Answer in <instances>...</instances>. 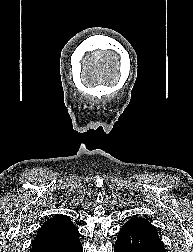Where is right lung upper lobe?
<instances>
[{
	"instance_id": "1",
	"label": "right lung upper lobe",
	"mask_w": 193,
	"mask_h": 252,
	"mask_svg": "<svg viewBox=\"0 0 193 252\" xmlns=\"http://www.w3.org/2000/svg\"><path fill=\"white\" fill-rule=\"evenodd\" d=\"M75 230L76 227L67 216H54L43 223L36 235L33 245L54 240L57 237H62Z\"/></svg>"
}]
</instances>
